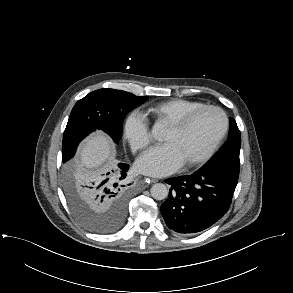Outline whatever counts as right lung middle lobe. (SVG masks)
I'll list each match as a JSON object with an SVG mask.
<instances>
[{
	"mask_svg": "<svg viewBox=\"0 0 293 293\" xmlns=\"http://www.w3.org/2000/svg\"><path fill=\"white\" fill-rule=\"evenodd\" d=\"M148 96H135L121 90L99 89L89 93L73 107L62 144V161L71 159L78 144L88 134L102 130L118 143L122 136L123 120L128 112L140 106ZM97 175L74 171L65 165L64 189L69 205L76 218L88 229L105 233L116 229L122 219L102 214L88 207L82 198V185Z\"/></svg>",
	"mask_w": 293,
	"mask_h": 293,
	"instance_id": "obj_1",
	"label": "right lung middle lobe"
}]
</instances>
